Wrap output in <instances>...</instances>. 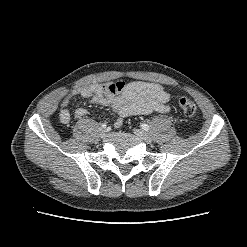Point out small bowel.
<instances>
[{"instance_id":"c3829d8e","label":"small bowel","mask_w":247,"mask_h":247,"mask_svg":"<svg viewBox=\"0 0 247 247\" xmlns=\"http://www.w3.org/2000/svg\"><path fill=\"white\" fill-rule=\"evenodd\" d=\"M80 98L110 108L118 116L115 125L119 127L126 117L169 112L171 95L162 85L144 81L85 85L76 88L63 99L59 113L62 124L70 122V107ZM87 114L88 110L80 107L75 110L74 116L82 118Z\"/></svg>"}]
</instances>
